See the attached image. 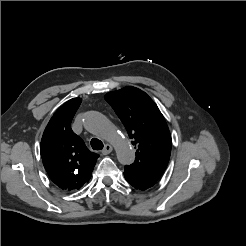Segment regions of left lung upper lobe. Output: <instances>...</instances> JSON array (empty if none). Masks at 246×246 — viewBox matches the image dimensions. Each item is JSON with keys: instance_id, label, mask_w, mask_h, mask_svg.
I'll list each match as a JSON object with an SVG mask.
<instances>
[{"instance_id": "left-lung-upper-lobe-1", "label": "left lung upper lobe", "mask_w": 246, "mask_h": 246, "mask_svg": "<svg viewBox=\"0 0 246 246\" xmlns=\"http://www.w3.org/2000/svg\"><path fill=\"white\" fill-rule=\"evenodd\" d=\"M104 98L136 148L134 163L126 167L157 182L167 167L172 145L167 123L157 105L145 92L131 86L109 92Z\"/></svg>"}]
</instances>
